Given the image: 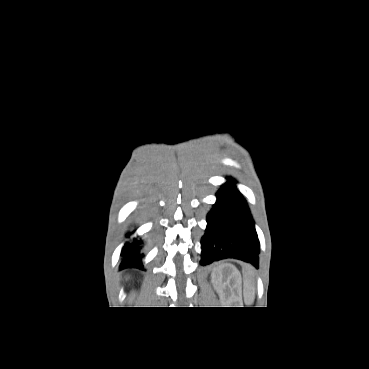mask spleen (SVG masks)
Returning a JSON list of instances; mask_svg holds the SVG:
<instances>
[{
	"label": "spleen",
	"mask_w": 369,
	"mask_h": 369,
	"mask_svg": "<svg viewBox=\"0 0 369 369\" xmlns=\"http://www.w3.org/2000/svg\"><path fill=\"white\" fill-rule=\"evenodd\" d=\"M244 287L248 298H253L255 295L254 270L251 266L244 269Z\"/></svg>",
	"instance_id": "obj_1"
}]
</instances>
